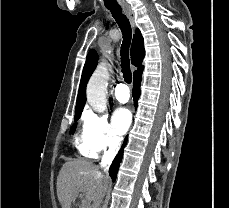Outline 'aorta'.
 <instances>
[{
    "instance_id": "aorta-1",
    "label": "aorta",
    "mask_w": 229,
    "mask_h": 208,
    "mask_svg": "<svg viewBox=\"0 0 229 208\" xmlns=\"http://www.w3.org/2000/svg\"><path fill=\"white\" fill-rule=\"evenodd\" d=\"M109 72L106 64H100L92 74L86 89L87 101L97 112L106 109V89L108 85Z\"/></svg>"
}]
</instances>
